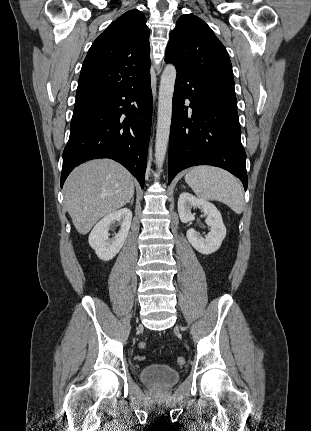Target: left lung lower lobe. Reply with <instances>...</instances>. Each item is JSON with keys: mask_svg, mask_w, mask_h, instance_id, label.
I'll list each match as a JSON object with an SVG mask.
<instances>
[{"mask_svg": "<svg viewBox=\"0 0 311 431\" xmlns=\"http://www.w3.org/2000/svg\"><path fill=\"white\" fill-rule=\"evenodd\" d=\"M169 139L168 184L194 165L221 167L248 185L234 85L177 69ZM185 99L190 105L185 106ZM190 108V109H189Z\"/></svg>", "mask_w": 311, "mask_h": 431, "instance_id": "obj_1", "label": "left lung lower lobe"}]
</instances>
